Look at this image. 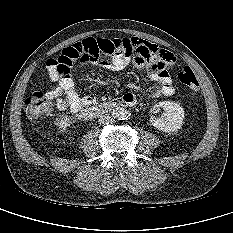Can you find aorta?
Here are the masks:
<instances>
[{"mask_svg": "<svg viewBox=\"0 0 233 233\" xmlns=\"http://www.w3.org/2000/svg\"><path fill=\"white\" fill-rule=\"evenodd\" d=\"M131 116L130 112L124 108H116L113 111V117L118 120H127Z\"/></svg>", "mask_w": 233, "mask_h": 233, "instance_id": "aorta-1", "label": "aorta"}]
</instances>
